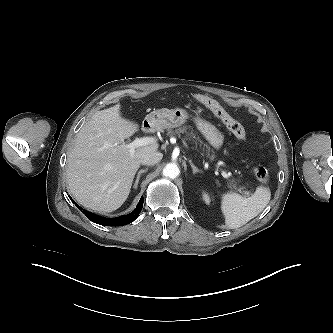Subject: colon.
Listing matches in <instances>:
<instances>
[{"instance_id": "1", "label": "colon", "mask_w": 333, "mask_h": 333, "mask_svg": "<svg viewBox=\"0 0 333 333\" xmlns=\"http://www.w3.org/2000/svg\"><path fill=\"white\" fill-rule=\"evenodd\" d=\"M194 98L206 106L226 128L240 141L245 140L246 132L243 126L235 120L215 99L204 95L195 94ZM254 175L259 182L265 183L269 179V172L265 167H257L254 170Z\"/></svg>"}]
</instances>
